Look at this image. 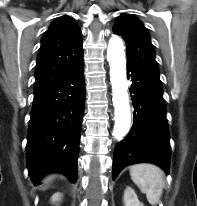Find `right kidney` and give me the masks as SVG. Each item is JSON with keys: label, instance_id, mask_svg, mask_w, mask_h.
Wrapping results in <instances>:
<instances>
[{"label": "right kidney", "instance_id": "obj_1", "mask_svg": "<svg viewBox=\"0 0 197 206\" xmlns=\"http://www.w3.org/2000/svg\"><path fill=\"white\" fill-rule=\"evenodd\" d=\"M62 194L61 193H55L52 197H51V202L56 203L58 201L61 200Z\"/></svg>", "mask_w": 197, "mask_h": 206}]
</instances>
